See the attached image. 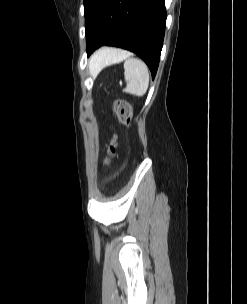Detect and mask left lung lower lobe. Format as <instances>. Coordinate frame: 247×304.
Wrapping results in <instances>:
<instances>
[{
	"mask_svg": "<svg viewBox=\"0 0 247 304\" xmlns=\"http://www.w3.org/2000/svg\"><path fill=\"white\" fill-rule=\"evenodd\" d=\"M164 0H103L86 25L87 55L102 45L136 53L154 79L166 23Z\"/></svg>",
	"mask_w": 247,
	"mask_h": 304,
	"instance_id": "obj_1",
	"label": "left lung lower lobe"
}]
</instances>
